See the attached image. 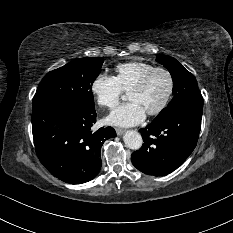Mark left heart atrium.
<instances>
[{
  "mask_svg": "<svg viewBox=\"0 0 233 233\" xmlns=\"http://www.w3.org/2000/svg\"><path fill=\"white\" fill-rule=\"evenodd\" d=\"M145 110L135 101L116 107L107 117L111 125L130 127L139 124L145 119Z\"/></svg>",
  "mask_w": 233,
  "mask_h": 233,
  "instance_id": "obj_1",
  "label": "left heart atrium"
}]
</instances>
